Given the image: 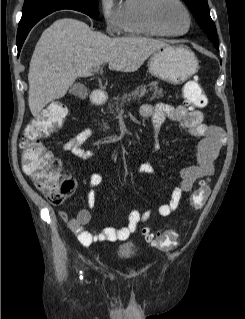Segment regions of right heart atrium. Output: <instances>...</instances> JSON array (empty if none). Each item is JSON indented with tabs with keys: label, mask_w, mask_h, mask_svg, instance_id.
I'll return each instance as SVG.
<instances>
[{
	"label": "right heart atrium",
	"mask_w": 245,
	"mask_h": 319,
	"mask_svg": "<svg viewBox=\"0 0 245 319\" xmlns=\"http://www.w3.org/2000/svg\"><path fill=\"white\" fill-rule=\"evenodd\" d=\"M100 11L109 34H118L122 31L120 19V4L117 0H100Z\"/></svg>",
	"instance_id": "obj_1"
}]
</instances>
